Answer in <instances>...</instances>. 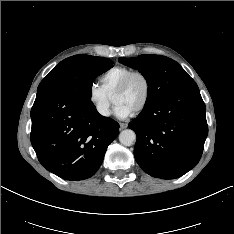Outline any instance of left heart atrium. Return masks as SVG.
<instances>
[{"instance_id": "obj_1", "label": "left heart atrium", "mask_w": 234, "mask_h": 234, "mask_svg": "<svg viewBox=\"0 0 234 234\" xmlns=\"http://www.w3.org/2000/svg\"><path fill=\"white\" fill-rule=\"evenodd\" d=\"M114 114L121 119L129 117L132 112L122 105H115Z\"/></svg>"}]
</instances>
